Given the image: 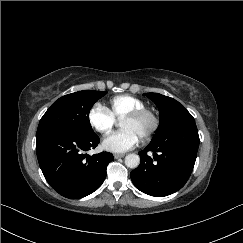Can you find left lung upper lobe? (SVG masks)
Masks as SVG:
<instances>
[{
	"instance_id": "left-lung-upper-lobe-1",
	"label": "left lung upper lobe",
	"mask_w": 243,
	"mask_h": 243,
	"mask_svg": "<svg viewBox=\"0 0 243 243\" xmlns=\"http://www.w3.org/2000/svg\"><path fill=\"white\" fill-rule=\"evenodd\" d=\"M144 95L156 104L160 113V124L151 141L165 138L186 125L195 124L193 116L175 99L158 93Z\"/></svg>"
}]
</instances>
